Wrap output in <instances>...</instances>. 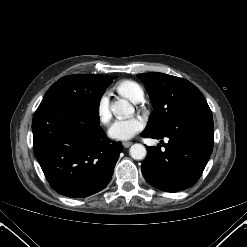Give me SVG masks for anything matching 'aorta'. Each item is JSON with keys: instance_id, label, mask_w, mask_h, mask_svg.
I'll use <instances>...</instances> for the list:
<instances>
[{"instance_id": "762f6f07", "label": "aorta", "mask_w": 247, "mask_h": 247, "mask_svg": "<svg viewBox=\"0 0 247 247\" xmlns=\"http://www.w3.org/2000/svg\"><path fill=\"white\" fill-rule=\"evenodd\" d=\"M113 114L118 118L130 117L133 112V106L124 99H120L111 105ZM130 156L135 160H142L146 157V148L142 144H133L130 148Z\"/></svg>"}]
</instances>
